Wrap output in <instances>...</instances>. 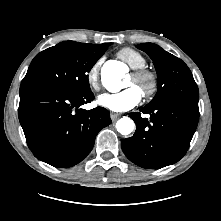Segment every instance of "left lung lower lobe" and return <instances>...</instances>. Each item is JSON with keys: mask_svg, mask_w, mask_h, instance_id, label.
Wrapping results in <instances>:
<instances>
[{"mask_svg": "<svg viewBox=\"0 0 221 221\" xmlns=\"http://www.w3.org/2000/svg\"><path fill=\"white\" fill-rule=\"evenodd\" d=\"M130 113L136 123L133 137L123 139L126 157L136 165L159 169L179 161L188 150L199 120L198 100L173 98Z\"/></svg>", "mask_w": 221, "mask_h": 221, "instance_id": "obj_1", "label": "left lung lower lobe"}]
</instances>
